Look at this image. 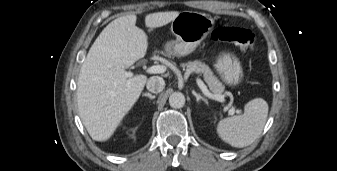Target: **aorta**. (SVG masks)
Listing matches in <instances>:
<instances>
[{
    "instance_id": "1",
    "label": "aorta",
    "mask_w": 337,
    "mask_h": 171,
    "mask_svg": "<svg viewBox=\"0 0 337 171\" xmlns=\"http://www.w3.org/2000/svg\"><path fill=\"white\" fill-rule=\"evenodd\" d=\"M169 104L172 108H182L185 104V96L181 92H174L169 97Z\"/></svg>"
}]
</instances>
